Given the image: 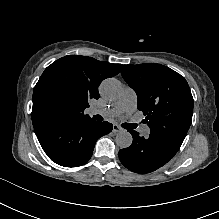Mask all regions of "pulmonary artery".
Instances as JSON below:
<instances>
[{
  "label": "pulmonary artery",
  "instance_id": "1",
  "mask_svg": "<svg viewBox=\"0 0 219 219\" xmlns=\"http://www.w3.org/2000/svg\"><path fill=\"white\" fill-rule=\"evenodd\" d=\"M136 106H137L136 92L132 88L126 87L119 100L111 109L99 110L97 108H91L90 112L94 114H100L106 119H111L123 113H132L135 110ZM143 129L147 131L148 127H144Z\"/></svg>",
  "mask_w": 219,
  "mask_h": 219
}]
</instances>
